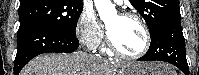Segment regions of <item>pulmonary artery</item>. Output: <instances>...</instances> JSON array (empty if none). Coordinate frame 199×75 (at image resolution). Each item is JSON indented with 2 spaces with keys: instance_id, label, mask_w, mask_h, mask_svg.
I'll list each match as a JSON object with an SVG mask.
<instances>
[{
  "instance_id": "e3ab8cb5",
  "label": "pulmonary artery",
  "mask_w": 199,
  "mask_h": 75,
  "mask_svg": "<svg viewBox=\"0 0 199 75\" xmlns=\"http://www.w3.org/2000/svg\"><path fill=\"white\" fill-rule=\"evenodd\" d=\"M117 3H121L122 1H116Z\"/></svg>"
}]
</instances>
